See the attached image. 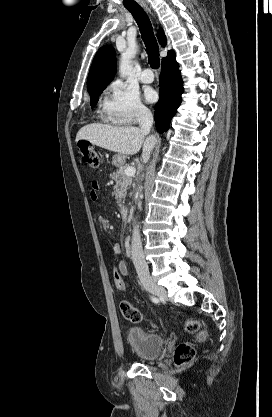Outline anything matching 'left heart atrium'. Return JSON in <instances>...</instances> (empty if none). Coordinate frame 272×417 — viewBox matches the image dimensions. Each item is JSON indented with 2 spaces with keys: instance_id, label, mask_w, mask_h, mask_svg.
<instances>
[{
  "instance_id": "39dd6f15",
  "label": "left heart atrium",
  "mask_w": 272,
  "mask_h": 417,
  "mask_svg": "<svg viewBox=\"0 0 272 417\" xmlns=\"http://www.w3.org/2000/svg\"><path fill=\"white\" fill-rule=\"evenodd\" d=\"M145 97L149 102H155L157 100V93L153 89H147L145 92Z\"/></svg>"
}]
</instances>
